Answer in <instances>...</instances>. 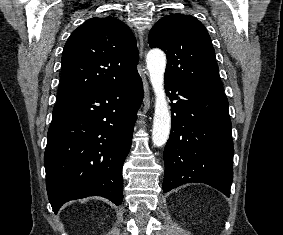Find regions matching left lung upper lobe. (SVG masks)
<instances>
[{"instance_id": "5c2ea615", "label": "left lung upper lobe", "mask_w": 283, "mask_h": 235, "mask_svg": "<svg viewBox=\"0 0 283 235\" xmlns=\"http://www.w3.org/2000/svg\"><path fill=\"white\" fill-rule=\"evenodd\" d=\"M148 41L151 48L158 47L166 53L165 78L224 93L211 38L195 17L170 14L161 18L151 29Z\"/></svg>"}]
</instances>
